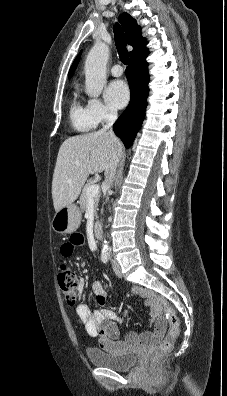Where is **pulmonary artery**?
<instances>
[{
	"label": "pulmonary artery",
	"mask_w": 227,
	"mask_h": 396,
	"mask_svg": "<svg viewBox=\"0 0 227 396\" xmlns=\"http://www.w3.org/2000/svg\"><path fill=\"white\" fill-rule=\"evenodd\" d=\"M110 73H111L113 76L118 77V76H121V75H122L123 69H122V67H121L120 65H113V66L110 68Z\"/></svg>",
	"instance_id": "pulmonary-artery-1"
}]
</instances>
